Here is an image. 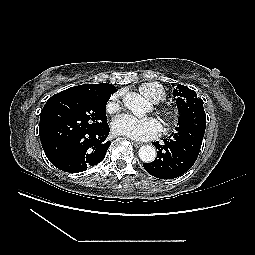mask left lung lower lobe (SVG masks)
<instances>
[{
    "label": "left lung lower lobe",
    "mask_w": 255,
    "mask_h": 255,
    "mask_svg": "<svg viewBox=\"0 0 255 255\" xmlns=\"http://www.w3.org/2000/svg\"><path fill=\"white\" fill-rule=\"evenodd\" d=\"M205 127L206 119L202 117L196 124L178 127L177 133L164 139L163 144L153 143L158 149L157 158L144 163L145 170L160 179H173L187 172L199 155Z\"/></svg>",
    "instance_id": "left-lung-lower-lobe-1"
}]
</instances>
